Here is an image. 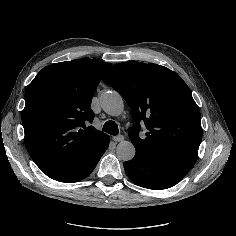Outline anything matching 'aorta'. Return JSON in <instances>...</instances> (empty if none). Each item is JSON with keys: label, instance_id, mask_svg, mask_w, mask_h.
<instances>
[{"label": "aorta", "instance_id": "1", "mask_svg": "<svg viewBox=\"0 0 236 236\" xmlns=\"http://www.w3.org/2000/svg\"><path fill=\"white\" fill-rule=\"evenodd\" d=\"M100 102L103 110L111 116H118L123 112V99L117 91L102 93ZM116 155L119 160L129 161L135 156V147L130 141H121L117 145Z\"/></svg>", "mask_w": 236, "mask_h": 236}]
</instances>
